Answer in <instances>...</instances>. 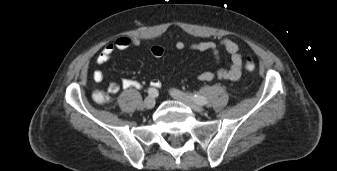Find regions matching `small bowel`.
<instances>
[{"label": "small bowel", "instance_id": "c3829d8e", "mask_svg": "<svg viewBox=\"0 0 337 171\" xmlns=\"http://www.w3.org/2000/svg\"><path fill=\"white\" fill-rule=\"evenodd\" d=\"M140 45L141 40L137 37L119 36L115 39L114 42H110L104 46L96 58V63L98 65H104L113 57L116 51L137 48ZM175 47L177 50H183L185 48V43L178 41L175 44ZM190 48L194 51L210 52L217 62H219L221 59V49L225 50L230 55L229 68H220L216 71H203L198 74V80L204 82L212 81L214 79L236 81L242 76V54L240 52L239 44L235 41L231 39H222L219 43L213 41H202L192 43ZM150 51L154 57H161L163 55V48L157 45L152 46ZM92 76L96 82H102L105 79V74L101 70H95ZM151 86L153 88H160V79H154L151 82ZM140 87L141 84L136 80L123 79L120 84L117 82L109 83L107 92L110 94H116L120 88L139 89Z\"/></svg>", "mask_w": 337, "mask_h": 171}]
</instances>
